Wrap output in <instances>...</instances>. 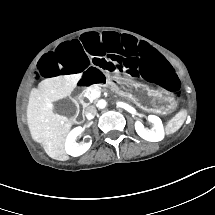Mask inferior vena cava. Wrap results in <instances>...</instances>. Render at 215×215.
I'll list each match as a JSON object with an SVG mask.
<instances>
[{"label":"inferior vena cava","mask_w":215,"mask_h":215,"mask_svg":"<svg viewBox=\"0 0 215 215\" xmlns=\"http://www.w3.org/2000/svg\"><path fill=\"white\" fill-rule=\"evenodd\" d=\"M84 114L88 119H92L97 115V109L94 105H89L84 109Z\"/></svg>","instance_id":"1"}]
</instances>
